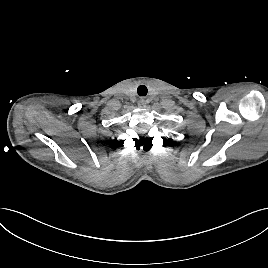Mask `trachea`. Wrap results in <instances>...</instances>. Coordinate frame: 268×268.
<instances>
[{
  "label": "trachea",
  "mask_w": 268,
  "mask_h": 268,
  "mask_svg": "<svg viewBox=\"0 0 268 268\" xmlns=\"http://www.w3.org/2000/svg\"><path fill=\"white\" fill-rule=\"evenodd\" d=\"M147 87L145 85H140L137 89V93L139 96H146L147 95Z\"/></svg>",
  "instance_id": "obj_1"
}]
</instances>
